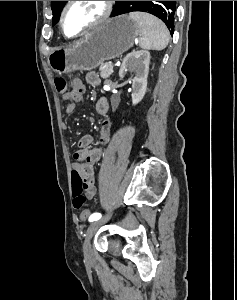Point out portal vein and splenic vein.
<instances>
[{
    "label": "portal vein and splenic vein",
    "instance_id": "portal-vein-and-splenic-vein-1",
    "mask_svg": "<svg viewBox=\"0 0 237 300\" xmlns=\"http://www.w3.org/2000/svg\"><path fill=\"white\" fill-rule=\"evenodd\" d=\"M110 69H112L114 66L110 63V65L108 66Z\"/></svg>",
    "mask_w": 237,
    "mask_h": 300
}]
</instances>
